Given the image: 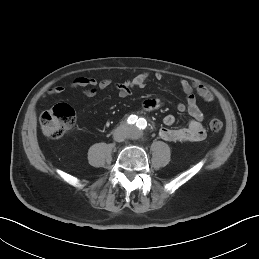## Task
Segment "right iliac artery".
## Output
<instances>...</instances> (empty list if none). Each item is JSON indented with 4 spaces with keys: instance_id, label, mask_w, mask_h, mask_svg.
Instances as JSON below:
<instances>
[{
    "instance_id": "1",
    "label": "right iliac artery",
    "mask_w": 259,
    "mask_h": 259,
    "mask_svg": "<svg viewBox=\"0 0 259 259\" xmlns=\"http://www.w3.org/2000/svg\"><path fill=\"white\" fill-rule=\"evenodd\" d=\"M132 116H134V115H132ZM132 116H130L129 119H128V122H129V123H135L136 120H137V117H136V119H135V117H132Z\"/></svg>"
}]
</instances>
